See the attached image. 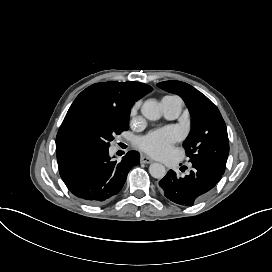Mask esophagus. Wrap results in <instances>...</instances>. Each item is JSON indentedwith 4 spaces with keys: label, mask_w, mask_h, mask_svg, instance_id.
Masks as SVG:
<instances>
[{
    "label": "esophagus",
    "mask_w": 272,
    "mask_h": 272,
    "mask_svg": "<svg viewBox=\"0 0 272 272\" xmlns=\"http://www.w3.org/2000/svg\"><path fill=\"white\" fill-rule=\"evenodd\" d=\"M140 162L141 163H152L153 160L145 155H141Z\"/></svg>",
    "instance_id": "esophagus-1"
}]
</instances>
